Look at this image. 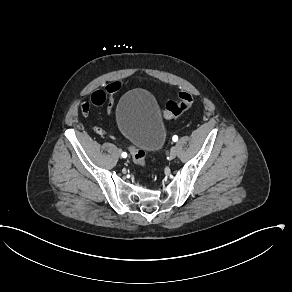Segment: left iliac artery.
Wrapping results in <instances>:
<instances>
[{"label":"left iliac artery","instance_id":"obj_1","mask_svg":"<svg viewBox=\"0 0 292 292\" xmlns=\"http://www.w3.org/2000/svg\"><path fill=\"white\" fill-rule=\"evenodd\" d=\"M172 140H173L174 142H176V141L178 140V136L174 135V136L172 137Z\"/></svg>","mask_w":292,"mask_h":292}]
</instances>
